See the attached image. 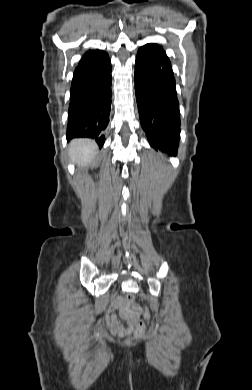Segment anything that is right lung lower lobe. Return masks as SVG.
I'll return each instance as SVG.
<instances>
[{"label":"right lung lower lobe","mask_w":252,"mask_h":390,"mask_svg":"<svg viewBox=\"0 0 252 390\" xmlns=\"http://www.w3.org/2000/svg\"><path fill=\"white\" fill-rule=\"evenodd\" d=\"M111 64L103 72L72 81L66 138L96 139L104 144L111 109Z\"/></svg>","instance_id":"obj_1"}]
</instances>
